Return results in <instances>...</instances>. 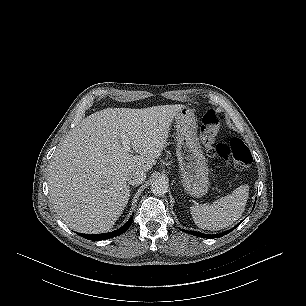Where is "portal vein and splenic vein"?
Here are the masks:
<instances>
[{"mask_svg":"<svg viewBox=\"0 0 306 306\" xmlns=\"http://www.w3.org/2000/svg\"><path fill=\"white\" fill-rule=\"evenodd\" d=\"M120 137H121V141H122L123 147H124L127 151H130V150H131V147H130V141H129L128 137H127L124 133H122V134L120 135Z\"/></svg>","mask_w":306,"mask_h":306,"instance_id":"portal-vein-and-splenic-vein-1","label":"portal vein and splenic vein"}]
</instances>
